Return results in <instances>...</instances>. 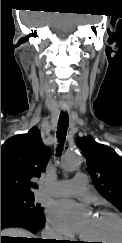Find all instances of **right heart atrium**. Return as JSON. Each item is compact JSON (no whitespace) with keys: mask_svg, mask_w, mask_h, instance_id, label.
I'll return each instance as SVG.
<instances>
[{"mask_svg":"<svg viewBox=\"0 0 122 243\" xmlns=\"http://www.w3.org/2000/svg\"><path fill=\"white\" fill-rule=\"evenodd\" d=\"M49 233L51 234V235H54V236H58L59 234L55 231V230H53V229H49Z\"/></svg>","mask_w":122,"mask_h":243,"instance_id":"obj_1","label":"right heart atrium"}]
</instances>
